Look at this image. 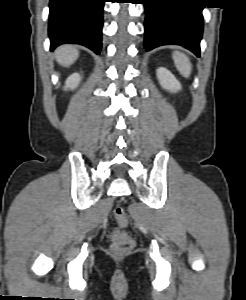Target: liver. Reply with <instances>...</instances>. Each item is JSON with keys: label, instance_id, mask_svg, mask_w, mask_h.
<instances>
[{"label": "liver", "instance_id": "6515ba94", "mask_svg": "<svg viewBox=\"0 0 246 300\" xmlns=\"http://www.w3.org/2000/svg\"><path fill=\"white\" fill-rule=\"evenodd\" d=\"M79 56V52L75 46L62 45L55 53L56 61L62 66H70Z\"/></svg>", "mask_w": 246, "mask_h": 300}]
</instances>
